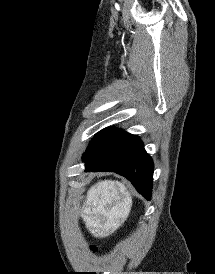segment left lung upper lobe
I'll use <instances>...</instances> for the list:
<instances>
[{"mask_svg": "<svg viewBox=\"0 0 215 274\" xmlns=\"http://www.w3.org/2000/svg\"><path fill=\"white\" fill-rule=\"evenodd\" d=\"M116 129L105 128L97 133V135L91 140L86 152L83 155V159L94 151L100 144H102Z\"/></svg>", "mask_w": 215, "mask_h": 274, "instance_id": "1", "label": "left lung upper lobe"}]
</instances>
